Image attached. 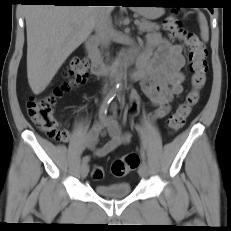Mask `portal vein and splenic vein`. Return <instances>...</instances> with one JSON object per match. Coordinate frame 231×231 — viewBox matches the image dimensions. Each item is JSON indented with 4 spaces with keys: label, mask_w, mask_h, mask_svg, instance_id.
<instances>
[{
    "label": "portal vein and splenic vein",
    "mask_w": 231,
    "mask_h": 231,
    "mask_svg": "<svg viewBox=\"0 0 231 231\" xmlns=\"http://www.w3.org/2000/svg\"><path fill=\"white\" fill-rule=\"evenodd\" d=\"M135 24H136V25H139V21H135Z\"/></svg>",
    "instance_id": "18ae733b"
}]
</instances>
